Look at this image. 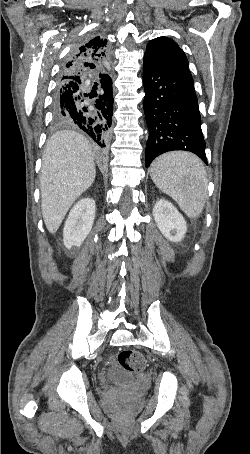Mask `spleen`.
I'll return each mask as SVG.
<instances>
[{
    "label": "spleen",
    "instance_id": "3e777b00",
    "mask_svg": "<svg viewBox=\"0 0 250 454\" xmlns=\"http://www.w3.org/2000/svg\"><path fill=\"white\" fill-rule=\"evenodd\" d=\"M150 174L155 185L173 198L190 218L203 211L207 196V174L202 161L187 152H170L158 157Z\"/></svg>",
    "mask_w": 250,
    "mask_h": 454
}]
</instances>
